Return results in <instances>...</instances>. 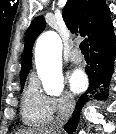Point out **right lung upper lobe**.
<instances>
[{"mask_svg":"<svg viewBox=\"0 0 116 134\" xmlns=\"http://www.w3.org/2000/svg\"><path fill=\"white\" fill-rule=\"evenodd\" d=\"M71 33L87 36L89 44L101 39L113 29L110 9L105 0H68L62 11ZM45 20L36 17L25 34V48L21 58V78H26L32 63V47L36 37L44 30Z\"/></svg>","mask_w":116,"mask_h":134,"instance_id":"1","label":"right lung upper lobe"}]
</instances>
